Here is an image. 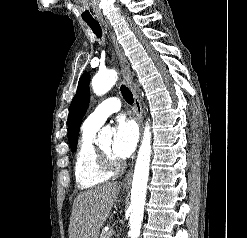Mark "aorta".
Here are the masks:
<instances>
[{"mask_svg": "<svg viewBox=\"0 0 247 238\" xmlns=\"http://www.w3.org/2000/svg\"><path fill=\"white\" fill-rule=\"evenodd\" d=\"M117 73L113 70L99 73L92 79V88L96 95H104L116 83ZM99 139H111L112 131L110 127H104L98 134ZM151 159V132L150 126L146 123L143 140L138 151L135 164L130 204V238H138L143 220L144 207L146 201V190L149 176V166Z\"/></svg>", "mask_w": 247, "mask_h": 238, "instance_id": "obj_1", "label": "aorta"}]
</instances>
